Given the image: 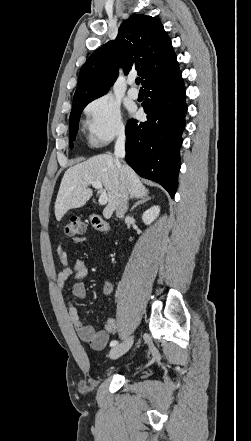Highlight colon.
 <instances>
[{"instance_id": "colon-1", "label": "colon", "mask_w": 251, "mask_h": 441, "mask_svg": "<svg viewBox=\"0 0 251 441\" xmlns=\"http://www.w3.org/2000/svg\"><path fill=\"white\" fill-rule=\"evenodd\" d=\"M85 226L83 222L77 217H71L68 221L63 225L62 233L66 238H73L80 236L84 233Z\"/></svg>"}]
</instances>
